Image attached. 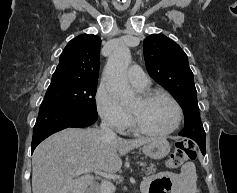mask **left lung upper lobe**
Listing matches in <instances>:
<instances>
[{
  "instance_id": "1",
  "label": "left lung upper lobe",
  "mask_w": 237,
  "mask_h": 193,
  "mask_svg": "<svg viewBox=\"0 0 237 193\" xmlns=\"http://www.w3.org/2000/svg\"><path fill=\"white\" fill-rule=\"evenodd\" d=\"M144 58L150 76L167 89L183 108L185 127L180 136L205 145L206 137L197 104V91L188 58L170 38L152 34L143 43Z\"/></svg>"
}]
</instances>
